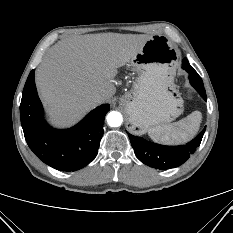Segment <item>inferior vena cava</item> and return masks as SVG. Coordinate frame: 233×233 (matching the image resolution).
<instances>
[{
  "label": "inferior vena cava",
  "mask_w": 233,
  "mask_h": 233,
  "mask_svg": "<svg viewBox=\"0 0 233 233\" xmlns=\"http://www.w3.org/2000/svg\"><path fill=\"white\" fill-rule=\"evenodd\" d=\"M103 99H104V95H102V94H96L94 96V100L97 102H101Z\"/></svg>",
  "instance_id": "602c4592"
}]
</instances>
